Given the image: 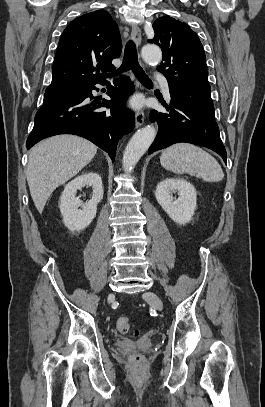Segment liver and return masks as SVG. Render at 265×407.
<instances>
[{"label": "liver", "instance_id": "obj_1", "mask_svg": "<svg viewBox=\"0 0 265 407\" xmlns=\"http://www.w3.org/2000/svg\"><path fill=\"white\" fill-rule=\"evenodd\" d=\"M96 152L90 141L67 134L45 139L30 150L26 177L40 214L52 192L78 174Z\"/></svg>", "mask_w": 265, "mask_h": 407}]
</instances>
